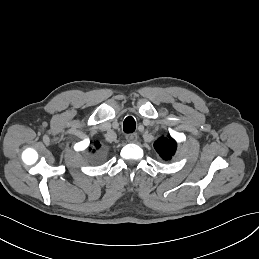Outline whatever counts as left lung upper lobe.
<instances>
[{
  "label": "left lung upper lobe",
  "mask_w": 259,
  "mask_h": 259,
  "mask_svg": "<svg viewBox=\"0 0 259 259\" xmlns=\"http://www.w3.org/2000/svg\"><path fill=\"white\" fill-rule=\"evenodd\" d=\"M154 148L163 160L169 161L176 152L177 144L171 137H160L155 141Z\"/></svg>",
  "instance_id": "5c2ea615"
}]
</instances>
